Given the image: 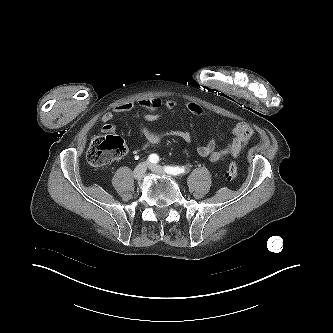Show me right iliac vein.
Instances as JSON below:
<instances>
[{"label": "right iliac vein", "instance_id": "1", "mask_svg": "<svg viewBox=\"0 0 333 333\" xmlns=\"http://www.w3.org/2000/svg\"><path fill=\"white\" fill-rule=\"evenodd\" d=\"M148 164H149L148 162H142L136 166L133 173L135 180L139 181L143 178V176L146 173Z\"/></svg>", "mask_w": 333, "mask_h": 333}]
</instances>
